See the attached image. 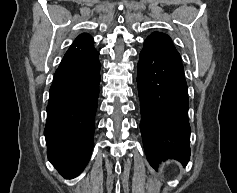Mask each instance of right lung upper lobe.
<instances>
[{
	"label": "right lung upper lobe",
	"mask_w": 237,
	"mask_h": 193,
	"mask_svg": "<svg viewBox=\"0 0 237 193\" xmlns=\"http://www.w3.org/2000/svg\"><path fill=\"white\" fill-rule=\"evenodd\" d=\"M93 42H94V40L89 34L83 33L75 39V41L70 46L68 51H72V52H80V51L92 52V51H96L93 47Z\"/></svg>",
	"instance_id": "cb5924a9"
}]
</instances>
